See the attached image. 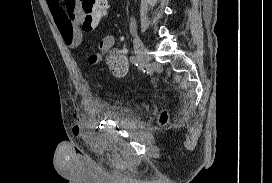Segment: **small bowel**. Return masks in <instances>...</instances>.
Segmentation results:
<instances>
[{
	"label": "small bowel",
	"instance_id": "obj_1",
	"mask_svg": "<svg viewBox=\"0 0 272 183\" xmlns=\"http://www.w3.org/2000/svg\"><path fill=\"white\" fill-rule=\"evenodd\" d=\"M46 1L64 43L70 48H77L83 39L79 15L76 13L73 21L68 20V0ZM114 43L115 39L113 35H104L99 42V49L103 52H109L113 49ZM109 63L116 75L123 76L126 74L128 63L123 50L114 51L109 58ZM74 118L79 121L81 116L74 115Z\"/></svg>",
	"mask_w": 272,
	"mask_h": 183
}]
</instances>
